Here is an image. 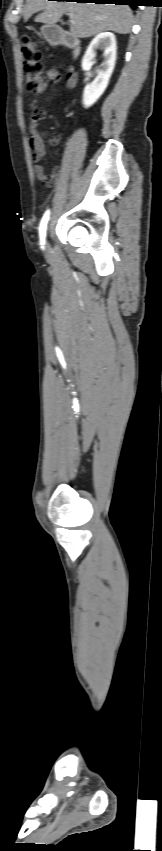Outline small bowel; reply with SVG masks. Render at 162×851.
Returning a JSON list of instances; mask_svg holds the SVG:
<instances>
[{"mask_svg": "<svg viewBox=\"0 0 162 851\" xmlns=\"http://www.w3.org/2000/svg\"><path fill=\"white\" fill-rule=\"evenodd\" d=\"M79 72L75 68L67 67V79L66 84L68 86L69 92L75 91V86L77 84ZM58 80V71L56 68H52L48 70L47 77L44 79H40L36 88L35 95L33 99V106L37 107L39 96L46 90L48 86V81H57ZM44 117V113L40 110H35L29 117V146L31 149V156L34 162V172L36 177L47 183L52 184L57 180L58 174L55 171L52 174H48L41 164V160L45 155V145L41 135L38 132V123ZM60 141L58 136H53L50 138L49 142L52 146H56Z\"/></svg>", "mask_w": 162, "mask_h": 851, "instance_id": "1", "label": "small bowel"}]
</instances>
